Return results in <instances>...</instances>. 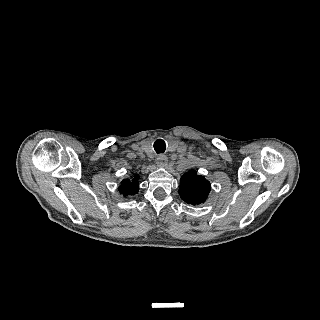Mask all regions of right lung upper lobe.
I'll return each mask as SVG.
<instances>
[{
    "mask_svg": "<svg viewBox=\"0 0 320 320\" xmlns=\"http://www.w3.org/2000/svg\"><path fill=\"white\" fill-rule=\"evenodd\" d=\"M139 175L136 174L135 177L132 180L124 179L121 182V185L119 186V192L124 197H127L129 195H134L139 191Z\"/></svg>",
    "mask_w": 320,
    "mask_h": 320,
    "instance_id": "1",
    "label": "right lung upper lobe"
}]
</instances>
